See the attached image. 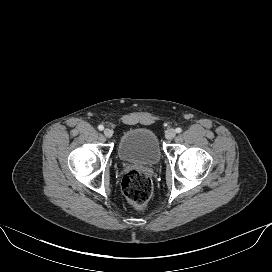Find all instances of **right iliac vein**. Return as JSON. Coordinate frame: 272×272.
<instances>
[{"instance_id": "right-iliac-vein-1", "label": "right iliac vein", "mask_w": 272, "mask_h": 272, "mask_svg": "<svg viewBox=\"0 0 272 272\" xmlns=\"http://www.w3.org/2000/svg\"><path fill=\"white\" fill-rule=\"evenodd\" d=\"M104 135H105L107 138H111L112 135H113V132H112L110 129L106 128V129L104 130Z\"/></svg>"}]
</instances>
